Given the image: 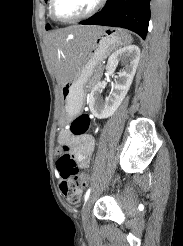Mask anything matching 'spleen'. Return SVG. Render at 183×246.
I'll list each match as a JSON object with an SVG mask.
<instances>
[{"label": "spleen", "mask_w": 183, "mask_h": 246, "mask_svg": "<svg viewBox=\"0 0 183 246\" xmlns=\"http://www.w3.org/2000/svg\"><path fill=\"white\" fill-rule=\"evenodd\" d=\"M124 37H125V39H124V44H130V43L132 42V37H131V35L125 33V34H124Z\"/></svg>", "instance_id": "obj_1"}]
</instances>
